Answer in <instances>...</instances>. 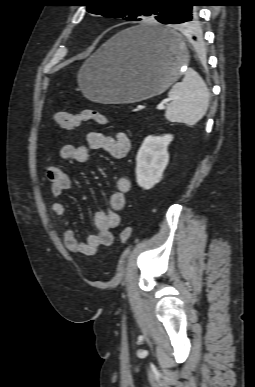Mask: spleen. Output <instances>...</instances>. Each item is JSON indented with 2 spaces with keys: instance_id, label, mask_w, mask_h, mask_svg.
<instances>
[{
  "instance_id": "spleen-1",
  "label": "spleen",
  "mask_w": 255,
  "mask_h": 387,
  "mask_svg": "<svg viewBox=\"0 0 255 387\" xmlns=\"http://www.w3.org/2000/svg\"><path fill=\"white\" fill-rule=\"evenodd\" d=\"M172 102L165 116L171 122L195 125L206 114L209 106V91L199 74L191 68L185 72L181 82L174 84L168 93Z\"/></svg>"
}]
</instances>
